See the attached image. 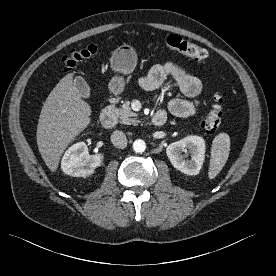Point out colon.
<instances>
[{"mask_svg":"<svg viewBox=\"0 0 276 276\" xmlns=\"http://www.w3.org/2000/svg\"><path fill=\"white\" fill-rule=\"evenodd\" d=\"M165 44L170 50L183 53L196 61H205L208 58V53L204 48L187 41L176 34L167 36ZM97 52L98 46L95 44H88L83 47L73 49L62 58V68L64 70H71L80 61L94 56ZM222 106V97L220 95H214L212 97L210 107L201 123V126L206 133L214 134L218 130L222 122Z\"/></svg>","mask_w":276,"mask_h":276,"instance_id":"5ec220e1","label":"colon"}]
</instances>
